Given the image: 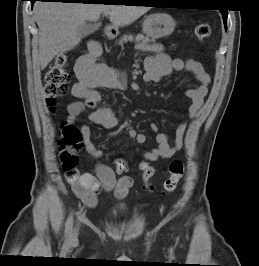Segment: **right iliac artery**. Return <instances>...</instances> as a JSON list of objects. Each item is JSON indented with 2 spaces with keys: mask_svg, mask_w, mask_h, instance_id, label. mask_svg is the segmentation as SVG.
<instances>
[{
  "mask_svg": "<svg viewBox=\"0 0 259 266\" xmlns=\"http://www.w3.org/2000/svg\"><path fill=\"white\" fill-rule=\"evenodd\" d=\"M72 228H73V215L71 214L67 219L66 228H65V236L67 241H69L72 236Z\"/></svg>",
  "mask_w": 259,
  "mask_h": 266,
  "instance_id": "1",
  "label": "right iliac artery"
}]
</instances>
